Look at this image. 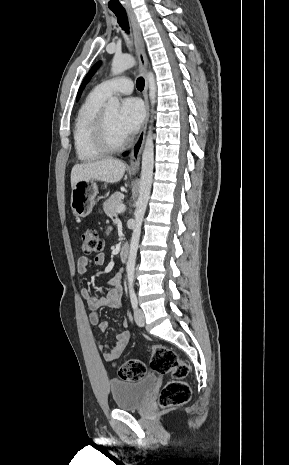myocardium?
I'll list each match as a JSON object with an SVG mask.
<instances>
[{"mask_svg": "<svg viewBox=\"0 0 289 465\" xmlns=\"http://www.w3.org/2000/svg\"><path fill=\"white\" fill-rule=\"evenodd\" d=\"M94 140L96 145L105 152H115L123 149L128 144V139L115 141L110 133L107 108L103 107L97 115L94 125Z\"/></svg>", "mask_w": 289, "mask_h": 465, "instance_id": "myocardium-1", "label": "myocardium"}]
</instances>
